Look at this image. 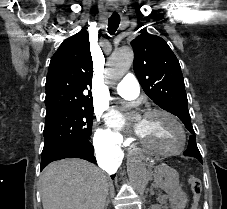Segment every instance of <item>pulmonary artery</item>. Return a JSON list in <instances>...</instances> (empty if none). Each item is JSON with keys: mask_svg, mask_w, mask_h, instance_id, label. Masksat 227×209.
Instances as JSON below:
<instances>
[{"mask_svg": "<svg viewBox=\"0 0 227 209\" xmlns=\"http://www.w3.org/2000/svg\"><path fill=\"white\" fill-rule=\"evenodd\" d=\"M116 93L124 98H135L139 93V82L134 73H125V78L117 85Z\"/></svg>", "mask_w": 227, "mask_h": 209, "instance_id": "obj_1", "label": "pulmonary artery"}]
</instances>
